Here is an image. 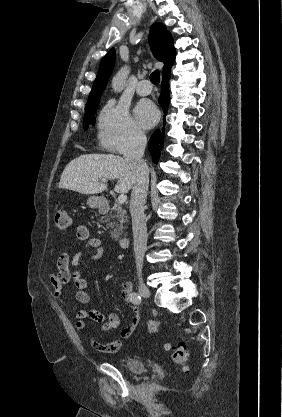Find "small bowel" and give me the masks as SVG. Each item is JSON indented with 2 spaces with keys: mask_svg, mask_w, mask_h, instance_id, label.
I'll return each mask as SVG.
<instances>
[{
  "mask_svg": "<svg viewBox=\"0 0 282 417\" xmlns=\"http://www.w3.org/2000/svg\"><path fill=\"white\" fill-rule=\"evenodd\" d=\"M77 238L84 243L83 247L75 251L72 255L62 253L56 263L57 270L51 275L50 282L53 287L55 299L67 309L68 305L65 287L73 280L77 288V299L81 303H87L89 300L88 294L85 292L87 281L83 277L79 266L81 265L84 251L92 250L93 253L89 255V260H100L106 254V248L98 237L91 236L89 230L84 225H79L76 228ZM120 291L123 298L130 302V297L133 291L132 284L125 281L120 285ZM133 316L130 323L121 329L119 337L109 342L103 343L94 338H89L90 346L104 354H112L117 352L125 339H128L136 330L140 322V312L135 306H132ZM90 318L96 322L101 323V331L104 333L115 330L120 324V318L116 313H103L99 310H79L74 313L75 327L79 332H85L87 329L86 319Z\"/></svg>",
  "mask_w": 282,
  "mask_h": 417,
  "instance_id": "small-bowel-1",
  "label": "small bowel"
}]
</instances>
